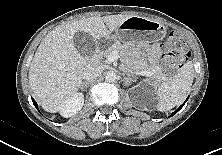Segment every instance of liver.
<instances>
[{"label": "liver", "instance_id": "6515ba94", "mask_svg": "<svg viewBox=\"0 0 222 155\" xmlns=\"http://www.w3.org/2000/svg\"><path fill=\"white\" fill-rule=\"evenodd\" d=\"M130 15L93 16L63 24L40 43L29 69V84L42 108L58 112L77 93L84 69L93 64L74 45L73 36L86 32L94 40L107 38Z\"/></svg>", "mask_w": 222, "mask_h": 155}]
</instances>
